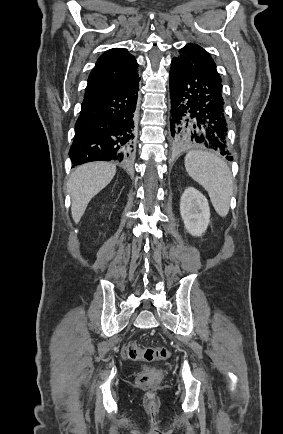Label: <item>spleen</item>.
<instances>
[{"label":"spleen","mask_w":283,"mask_h":434,"mask_svg":"<svg viewBox=\"0 0 283 434\" xmlns=\"http://www.w3.org/2000/svg\"><path fill=\"white\" fill-rule=\"evenodd\" d=\"M185 168L206 189L216 212L226 216L233 191L232 175L226 163L211 153L190 151L185 156Z\"/></svg>","instance_id":"3e777b00"}]
</instances>
